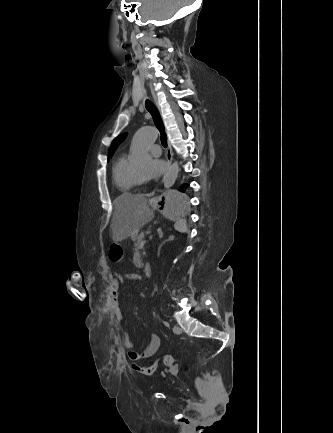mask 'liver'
Listing matches in <instances>:
<instances>
[{
    "instance_id": "1",
    "label": "liver",
    "mask_w": 333,
    "mask_h": 433,
    "mask_svg": "<svg viewBox=\"0 0 333 433\" xmlns=\"http://www.w3.org/2000/svg\"><path fill=\"white\" fill-rule=\"evenodd\" d=\"M143 194L123 193L114 200V213L111 222L112 240L121 242L154 218Z\"/></svg>"
}]
</instances>
